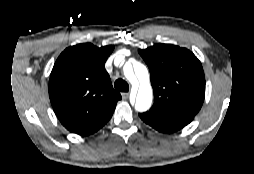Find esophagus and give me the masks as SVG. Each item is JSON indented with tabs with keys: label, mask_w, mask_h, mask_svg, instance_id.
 <instances>
[{
	"label": "esophagus",
	"mask_w": 254,
	"mask_h": 174,
	"mask_svg": "<svg viewBox=\"0 0 254 174\" xmlns=\"http://www.w3.org/2000/svg\"><path fill=\"white\" fill-rule=\"evenodd\" d=\"M128 97H129V93L128 92H123L122 93V98L123 99H128Z\"/></svg>",
	"instance_id": "34e87169"
}]
</instances>
